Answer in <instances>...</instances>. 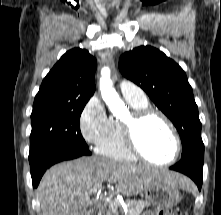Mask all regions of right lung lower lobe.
Returning <instances> with one entry per match:
<instances>
[{
  "label": "right lung lower lobe",
  "mask_w": 221,
  "mask_h": 215,
  "mask_svg": "<svg viewBox=\"0 0 221 215\" xmlns=\"http://www.w3.org/2000/svg\"><path fill=\"white\" fill-rule=\"evenodd\" d=\"M85 155H91L88 147L60 146L43 152L35 159L29 161L33 187L36 188L38 186L42 175L52 165Z\"/></svg>",
  "instance_id": "right-lung-lower-lobe-1"
}]
</instances>
